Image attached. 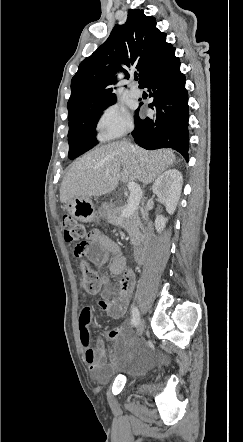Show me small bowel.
<instances>
[{
	"label": "small bowel",
	"mask_w": 243,
	"mask_h": 442,
	"mask_svg": "<svg viewBox=\"0 0 243 442\" xmlns=\"http://www.w3.org/2000/svg\"><path fill=\"white\" fill-rule=\"evenodd\" d=\"M91 247L87 248L85 255L94 263L106 266L109 272L119 276L118 286L111 288L109 279L102 278L104 288L100 291L101 299L97 302L99 309L111 319L122 318L127 309L133 287L135 274L127 268L126 258L120 247L111 238L99 229H92L88 233ZM93 317V307L85 304L81 307L78 316V325L83 346L84 360L89 366L92 376L101 381L107 378L114 370L119 359L124 355L120 347V340L124 325L113 328L107 334V339L115 345L111 350L110 361L107 358L103 339H93L90 324ZM127 340L124 345L132 344Z\"/></svg>",
	"instance_id": "c3829d8e"
}]
</instances>
